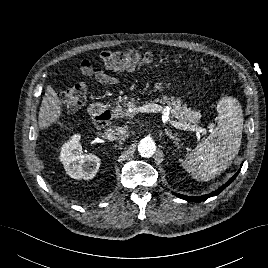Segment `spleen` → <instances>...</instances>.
<instances>
[{
  "label": "spleen",
  "instance_id": "obj_1",
  "mask_svg": "<svg viewBox=\"0 0 268 268\" xmlns=\"http://www.w3.org/2000/svg\"><path fill=\"white\" fill-rule=\"evenodd\" d=\"M219 121L208 138L182 161L187 172L209 181L225 171L238 154L243 129V112L236 98L226 96L217 103Z\"/></svg>",
  "mask_w": 268,
  "mask_h": 268
}]
</instances>
